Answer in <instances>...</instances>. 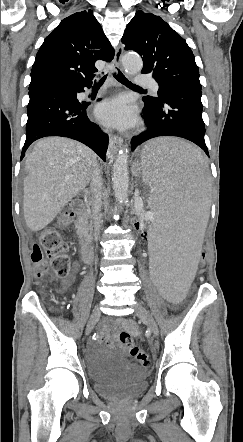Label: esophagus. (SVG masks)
Instances as JSON below:
<instances>
[{
    "mask_svg": "<svg viewBox=\"0 0 243 442\" xmlns=\"http://www.w3.org/2000/svg\"><path fill=\"white\" fill-rule=\"evenodd\" d=\"M122 54H123V45L120 44L116 50L115 56H114V63L116 65V67H120L121 66V58H122ZM123 144V139L117 135H112L110 137V141H109V152L111 154V157H113V155L117 154V152L119 151L120 147Z\"/></svg>",
    "mask_w": 243,
    "mask_h": 442,
    "instance_id": "obj_1",
    "label": "esophagus"
}]
</instances>
